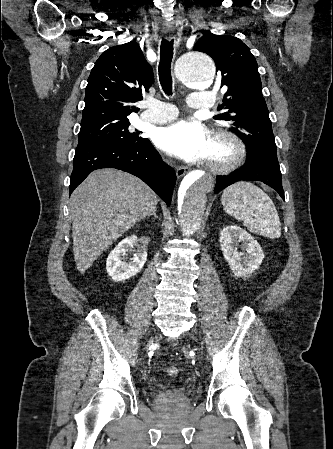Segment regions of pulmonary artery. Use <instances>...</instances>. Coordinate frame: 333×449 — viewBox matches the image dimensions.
Instances as JSON below:
<instances>
[{
    "mask_svg": "<svg viewBox=\"0 0 333 449\" xmlns=\"http://www.w3.org/2000/svg\"><path fill=\"white\" fill-rule=\"evenodd\" d=\"M216 97L208 91H195L190 94L188 105L193 109H209L215 105ZM141 120L148 123H164L178 115L176 106L161 101H148Z\"/></svg>",
    "mask_w": 333,
    "mask_h": 449,
    "instance_id": "1",
    "label": "pulmonary artery"
}]
</instances>
